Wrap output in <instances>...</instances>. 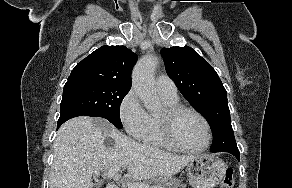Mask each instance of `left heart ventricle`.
<instances>
[{
  "label": "left heart ventricle",
  "instance_id": "b2bd125f",
  "mask_svg": "<svg viewBox=\"0 0 292 188\" xmlns=\"http://www.w3.org/2000/svg\"><path fill=\"white\" fill-rule=\"evenodd\" d=\"M174 132L179 142L188 148H199L206 142L203 122L191 113L183 114L176 120Z\"/></svg>",
  "mask_w": 292,
  "mask_h": 188
}]
</instances>
